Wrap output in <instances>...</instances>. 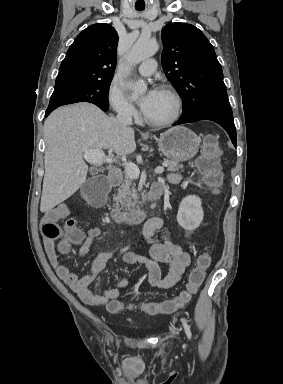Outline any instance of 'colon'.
<instances>
[{
  "label": "colon",
  "instance_id": "5ec220e1",
  "mask_svg": "<svg viewBox=\"0 0 283 384\" xmlns=\"http://www.w3.org/2000/svg\"><path fill=\"white\" fill-rule=\"evenodd\" d=\"M221 151L217 139L214 136L205 138L201 154L197 160L198 170L202 175L204 183L214 192H218L222 186L223 177L219 165ZM110 184L106 178L95 176L88 180L81 190L83 200L90 206H101L109 192ZM43 232L46 236L56 239L60 236L65 237V242L61 245V250L66 251L69 244L79 243L82 239L81 232L75 227V221H67L65 229L62 230L55 223H47L43 226ZM211 264V254L209 251L202 252L196 260L195 267L191 270L186 285V289L176 298L161 303L149 302L143 303L138 308L148 314L158 313L170 314L184 306L191 297L198 291L202 285L206 270ZM120 301H112L107 304V309L111 313H120L131 309Z\"/></svg>",
  "mask_w": 283,
  "mask_h": 384
}]
</instances>
